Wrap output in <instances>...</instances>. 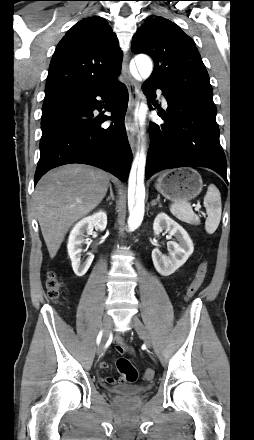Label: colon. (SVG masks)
<instances>
[{"label": "colon", "mask_w": 254, "mask_h": 440, "mask_svg": "<svg viewBox=\"0 0 254 440\" xmlns=\"http://www.w3.org/2000/svg\"><path fill=\"white\" fill-rule=\"evenodd\" d=\"M207 272H208V264L207 262H202L199 265L193 280L191 281L190 285L187 288V292H186L187 299H191L198 292L207 275ZM45 286L48 297L50 299L56 300L61 296L63 283L60 276L55 271H51L48 273ZM116 367L118 371L124 376L127 382L133 383L138 379V372L136 368L126 358H119L116 361ZM153 377H154V371L152 369H147L144 372V379L146 381H151Z\"/></svg>", "instance_id": "colon-1"}]
</instances>
